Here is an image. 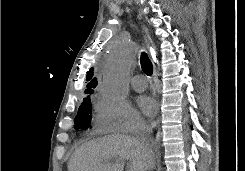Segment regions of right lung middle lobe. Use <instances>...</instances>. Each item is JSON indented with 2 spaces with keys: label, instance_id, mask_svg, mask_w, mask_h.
Returning <instances> with one entry per match:
<instances>
[{
  "label": "right lung middle lobe",
  "instance_id": "right-lung-middle-lobe-1",
  "mask_svg": "<svg viewBox=\"0 0 245 171\" xmlns=\"http://www.w3.org/2000/svg\"><path fill=\"white\" fill-rule=\"evenodd\" d=\"M92 104L90 97L84 98L75 117V128L85 129L90 126Z\"/></svg>",
  "mask_w": 245,
  "mask_h": 171
}]
</instances>
